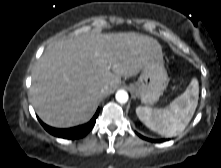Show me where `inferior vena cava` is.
Segmentation results:
<instances>
[{"label":"inferior vena cava","mask_w":221,"mask_h":168,"mask_svg":"<svg viewBox=\"0 0 221 168\" xmlns=\"http://www.w3.org/2000/svg\"><path fill=\"white\" fill-rule=\"evenodd\" d=\"M107 89V86L102 87L101 92H104Z\"/></svg>","instance_id":"inferior-vena-cava-1"}]
</instances>
